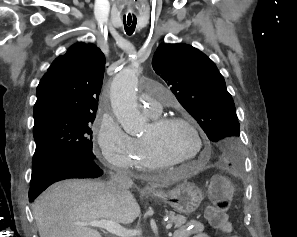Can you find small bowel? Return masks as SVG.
I'll list each match as a JSON object with an SVG mask.
<instances>
[{"label":"small bowel","instance_id":"1","mask_svg":"<svg viewBox=\"0 0 297 237\" xmlns=\"http://www.w3.org/2000/svg\"><path fill=\"white\" fill-rule=\"evenodd\" d=\"M174 237H210L204 230V226L197 220H191L179 228Z\"/></svg>","mask_w":297,"mask_h":237}]
</instances>
